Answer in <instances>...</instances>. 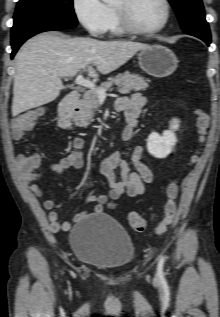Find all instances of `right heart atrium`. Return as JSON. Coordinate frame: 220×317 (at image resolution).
Segmentation results:
<instances>
[{"mask_svg": "<svg viewBox=\"0 0 220 317\" xmlns=\"http://www.w3.org/2000/svg\"><path fill=\"white\" fill-rule=\"evenodd\" d=\"M80 24L93 36L103 35L108 28L110 13L101 0H72Z\"/></svg>", "mask_w": 220, "mask_h": 317, "instance_id": "1", "label": "right heart atrium"}]
</instances>
